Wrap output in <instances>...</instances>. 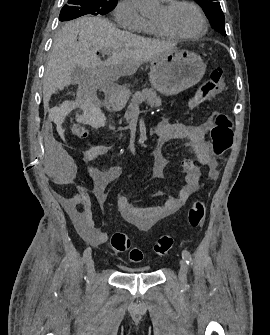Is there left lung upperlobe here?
<instances>
[{"label": "left lung upper lobe", "instance_id": "1", "mask_svg": "<svg viewBox=\"0 0 270 335\" xmlns=\"http://www.w3.org/2000/svg\"><path fill=\"white\" fill-rule=\"evenodd\" d=\"M205 12L213 28L226 36L225 17L219 2L216 0H194Z\"/></svg>", "mask_w": 270, "mask_h": 335}]
</instances>
